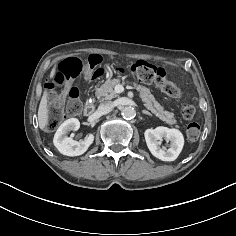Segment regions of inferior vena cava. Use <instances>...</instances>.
I'll return each instance as SVG.
<instances>
[{
	"mask_svg": "<svg viewBox=\"0 0 236 236\" xmlns=\"http://www.w3.org/2000/svg\"><path fill=\"white\" fill-rule=\"evenodd\" d=\"M113 108H114L113 103L111 101H107V102L101 103L99 105L98 111L101 114H107V113L111 112Z\"/></svg>",
	"mask_w": 236,
	"mask_h": 236,
	"instance_id": "obj_1",
	"label": "inferior vena cava"
}]
</instances>
